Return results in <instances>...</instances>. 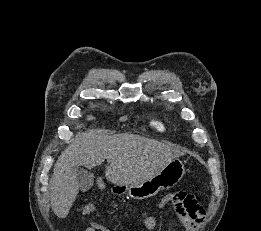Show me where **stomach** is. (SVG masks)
Listing matches in <instances>:
<instances>
[{
  "instance_id": "1",
  "label": "stomach",
  "mask_w": 261,
  "mask_h": 231,
  "mask_svg": "<svg viewBox=\"0 0 261 231\" xmlns=\"http://www.w3.org/2000/svg\"><path fill=\"white\" fill-rule=\"evenodd\" d=\"M185 167L179 158L173 159L160 172L152 178L130 185H115L112 192L128 194L135 200H142L155 196L161 190H167L175 186L184 176Z\"/></svg>"
}]
</instances>
